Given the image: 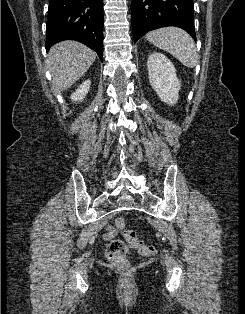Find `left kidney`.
<instances>
[{"label":"left kidney","instance_id":"obj_1","mask_svg":"<svg viewBox=\"0 0 245 314\" xmlns=\"http://www.w3.org/2000/svg\"><path fill=\"white\" fill-rule=\"evenodd\" d=\"M147 69L150 85L158 97L168 105H174L179 98L181 81L171 61L161 53L153 52L148 57Z\"/></svg>","mask_w":245,"mask_h":314}]
</instances>
